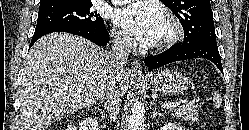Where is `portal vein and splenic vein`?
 <instances>
[{"label":"portal vein and splenic vein","instance_id":"portal-vein-and-splenic-vein-1","mask_svg":"<svg viewBox=\"0 0 249 130\" xmlns=\"http://www.w3.org/2000/svg\"><path fill=\"white\" fill-rule=\"evenodd\" d=\"M179 104H180L179 102H175V103H164V104H162V107L166 108V109H173V108H175Z\"/></svg>","mask_w":249,"mask_h":130}]
</instances>
